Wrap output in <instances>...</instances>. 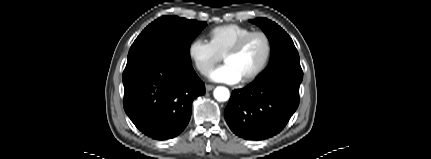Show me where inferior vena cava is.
<instances>
[{
    "mask_svg": "<svg viewBox=\"0 0 431 159\" xmlns=\"http://www.w3.org/2000/svg\"><path fill=\"white\" fill-rule=\"evenodd\" d=\"M210 70L208 69V70H206V73H208Z\"/></svg>",
    "mask_w": 431,
    "mask_h": 159,
    "instance_id": "inferior-vena-cava-1",
    "label": "inferior vena cava"
}]
</instances>
